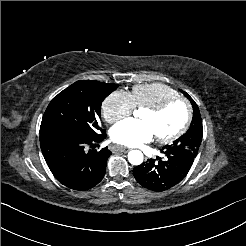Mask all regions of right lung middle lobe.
<instances>
[{
	"mask_svg": "<svg viewBox=\"0 0 246 246\" xmlns=\"http://www.w3.org/2000/svg\"><path fill=\"white\" fill-rule=\"evenodd\" d=\"M117 87L94 80L75 82L52 99L43 115L40 134L54 131L98 135L101 104Z\"/></svg>",
	"mask_w": 246,
	"mask_h": 246,
	"instance_id": "dd1d6c3e",
	"label": "right lung middle lobe"
}]
</instances>
